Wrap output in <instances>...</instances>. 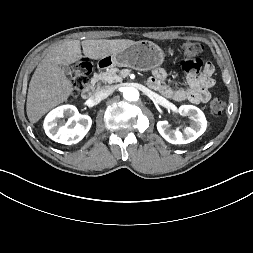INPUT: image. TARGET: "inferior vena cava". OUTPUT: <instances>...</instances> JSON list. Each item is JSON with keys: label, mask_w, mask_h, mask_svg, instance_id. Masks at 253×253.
Here are the masks:
<instances>
[{"label": "inferior vena cava", "mask_w": 253, "mask_h": 253, "mask_svg": "<svg viewBox=\"0 0 253 253\" xmlns=\"http://www.w3.org/2000/svg\"><path fill=\"white\" fill-rule=\"evenodd\" d=\"M114 91V88L112 86H102L99 87L95 93L96 98L98 99H105L107 98L110 94H112Z\"/></svg>", "instance_id": "1"}]
</instances>
